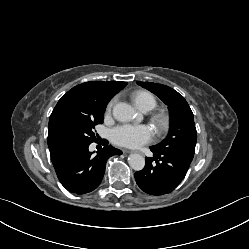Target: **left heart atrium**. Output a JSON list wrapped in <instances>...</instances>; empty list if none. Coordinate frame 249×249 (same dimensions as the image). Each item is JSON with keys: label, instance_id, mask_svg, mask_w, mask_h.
Here are the masks:
<instances>
[{"label": "left heart atrium", "instance_id": "39dd6f15", "mask_svg": "<svg viewBox=\"0 0 249 249\" xmlns=\"http://www.w3.org/2000/svg\"><path fill=\"white\" fill-rule=\"evenodd\" d=\"M110 137L117 145L137 148L151 140L152 130L146 125L124 124L112 129Z\"/></svg>", "mask_w": 249, "mask_h": 249}]
</instances>
